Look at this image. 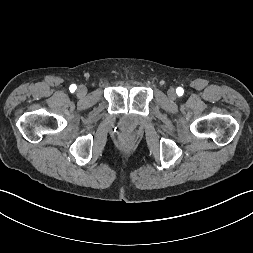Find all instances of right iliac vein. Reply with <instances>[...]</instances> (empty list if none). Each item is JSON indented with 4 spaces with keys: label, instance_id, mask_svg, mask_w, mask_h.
<instances>
[{
    "label": "right iliac vein",
    "instance_id": "obj_1",
    "mask_svg": "<svg viewBox=\"0 0 253 253\" xmlns=\"http://www.w3.org/2000/svg\"><path fill=\"white\" fill-rule=\"evenodd\" d=\"M86 93H87V88H86L85 86H83V85H80V86L78 87V89H77V95H78L79 97H83V96L86 95Z\"/></svg>",
    "mask_w": 253,
    "mask_h": 253
}]
</instances>
